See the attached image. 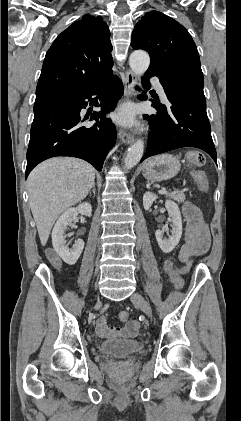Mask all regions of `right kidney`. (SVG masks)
Wrapping results in <instances>:
<instances>
[{
    "instance_id": "obj_1",
    "label": "right kidney",
    "mask_w": 241,
    "mask_h": 421,
    "mask_svg": "<svg viewBox=\"0 0 241 421\" xmlns=\"http://www.w3.org/2000/svg\"><path fill=\"white\" fill-rule=\"evenodd\" d=\"M79 213L90 217L92 214L91 204L84 202L79 204L76 208L67 209L59 217L52 231L53 248L62 260L69 265H74L77 262L84 248V241L82 239H77L75 241V247L73 249L68 248L65 240V231L67 230V227L71 226L73 222L77 220V215Z\"/></svg>"
}]
</instances>
